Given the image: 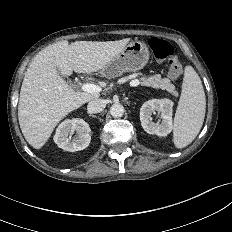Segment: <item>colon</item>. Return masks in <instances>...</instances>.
<instances>
[{
	"label": "colon",
	"mask_w": 232,
	"mask_h": 232,
	"mask_svg": "<svg viewBox=\"0 0 232 232\" xmlns=\"http://www.w3.org/2000/svg\"><path fill=\"white\" fill-rule=\"evenodd\" d=\"M149 47L158 60L168 62V75L171 79L176 80L181 77L183 72L182 65L174 54L172 45L168 41L153 37L149 40Z\"/></svg>",
	"instance_id": "obj_1"
}]
</instances>
